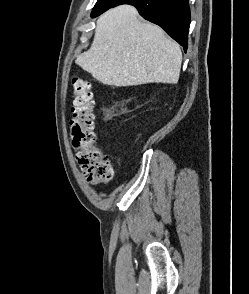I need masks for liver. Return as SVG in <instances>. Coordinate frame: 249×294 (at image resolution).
<instances>
[{
    "mask_svg": "<svg viewBox=\"0 0 249 294\" xmlns=\"http://www.w3.org/2000/svg\"><path fill=\"white\" fill-rule=\"evenodd\" d=\"M77 63L106 85L174 84L182 52L160 27L140 21L133 6L121 5L98 18L93 43Z\"/></svg>",
    "mask_w": 249,
    "mask_h": 294,
    "instance_id": "6515ba94",
    "label": "liver"
}]
</instances>
